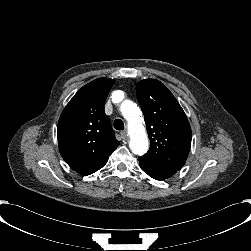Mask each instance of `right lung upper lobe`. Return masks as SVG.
I'll use <instances>...</instances> for the list:
<instances>
[{"label": "right lung upper lobe", "mask_w": 251, "mask_h": 251, "mask_svg": "<svg viewBox=\"0 0 251 251\" xmlns=\"http://www.w3.org/2000/svg\"><path fill=\"white\" fill-rule=\"evenodd\" d=\"M113 83V79L98 78L86 84L69 101L59 118L60 154L83 176L102 168L119 145L104 112Z\"/></svg>", "instance_id": "1"}]
</instances>
